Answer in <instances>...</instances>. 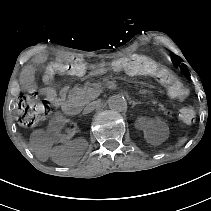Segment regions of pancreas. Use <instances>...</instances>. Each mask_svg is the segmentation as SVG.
<instances>
[{
  "label": "pancreas",
  "mask_w": 211,
  "mask_h": 211,
  "mask_svg": "<svg viewBox=\"0 0 211 211\" xmlns=\"http://www.w3.org/2000/svg\"><path fill=\"white\" fill-rule=\"evenodd\" d=\"M145 93L146 91H142ZM101 93V90L98 86L93 85L91 87H84V88H74L71 91V98L68 102V105L70 107V110L72 112H77L82 105L88 104L91 100L98 97ZM154 104H156L155 101H153ZM160 109L165 111V108L162 104H159ZM167 114V111L164 112Z\"/></svg>",
  "instance_id": "cf45deb5"
}]
</instances>
